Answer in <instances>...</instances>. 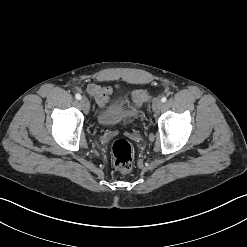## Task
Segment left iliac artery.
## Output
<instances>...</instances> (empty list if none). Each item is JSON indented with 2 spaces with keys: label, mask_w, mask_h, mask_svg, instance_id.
<instances>
[{
  "label": "left iliac artery",
  "mask_w": 247,
  "mask_h": 247,
  "mask_svg": "<svg viewBox=\"0 0 247 247\" xmlns=\"http://www.w3.org/2000/svg\"><path fill=\"white\" fill-rule=\"evenodd\" d=\"M167 98L166 97H162L161 101L164 103L166 102Z\"/></svg>",
  "instance_id": "44dca946"
}]
</instances>
